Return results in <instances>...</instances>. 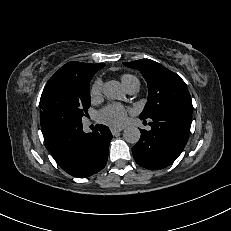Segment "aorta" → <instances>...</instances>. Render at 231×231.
Instances as JSON below:
<instances>
[{
  "label": "aorta",
  "mask_w": 231,
  "mask_h": 231,
  "mask_svg": "<svg viewBox=\"0 0 231 231\" xmlns=\"http://www.w3.org/2000/svg\"><path fill=\"white\" fill-rule=\"evenodd\" d=\"M104 95L109 99L122 100L125 97V92L120 83L115 80H111L105 83L103 88ZM141 137L140 130L135 126H129L125 128L123 132V138L125 141L131 144H135Z\"/></svg>",
  "instance_id": "762f6f07"
}]
</instances>
